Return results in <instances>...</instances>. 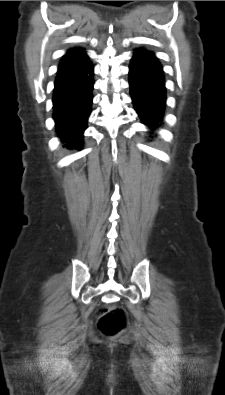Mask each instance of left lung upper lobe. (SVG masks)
<instances>
[{"instance_id":"left-lung-upper-lobe-1","label":"left lung upper lobe","mask_w":225,"mask_h":395,"mask_svg":"<svg viewBox=\"0 0 225 395\" xmlns=\"http://www.w3.org/2000/svg\"><path fill=\"white\" fill-rule=\"evenodd\" d=\"M134 53L136 55H140V56H143V55L144 56H155V54L152 51H148V50L143 49V48L136 49L134 51Z\"/></svg>"}]
</instances>
